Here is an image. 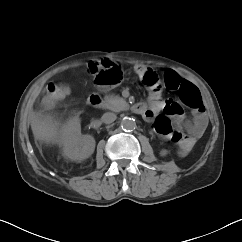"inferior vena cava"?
Wrapping results in <instances>:
<instances>
[{
  "instance_id": "obj_1",
  "label": "inferior vena cava",
  "mask_w": 242,
  "mask_h": 242,
  "mask_svg": "<svg viewBox=\"0 0 242 242\" xmlns=\"http://www.w3.org/2000/svg\"><path fill=\"white\" fill-rule=\"evenodd\" d=\"M117 116L116 114L112 112H106L102 115L101 120L105 124H110L116 120Z\"/></svg>"
}]
</instances>
